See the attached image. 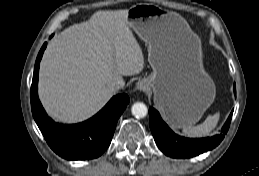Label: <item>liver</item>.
<instances>
[{
	"label": "liver",
	"instance_id": "liver-1",
	"mask_svg": "<svg viewBox=\"0 0 259 176\" xmlns=\"http://www.w3.org/2000/svg\"><path fill=\"white\" fill-rule=\"evenodd\" d=\"M127 13L97 11L50 42L40 64L38 93L52 118L66 123L90 118L113 96L115 78L143 70Z\"/></svg>",
	"mask_w": 259,
	"mask_h": 176
}]
</instances>
